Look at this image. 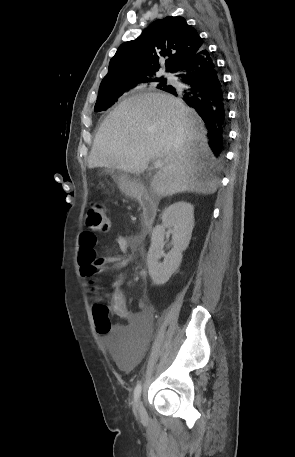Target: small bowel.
<instances>
[{
    "label": "small bowel",
    "instance_id": "1",
    "mask_svg": "<svg viewBox=\"0 0 295 457\" xmlns=\"http://www.w3.org/2000/svg\"><path fill=\"white\" fill-rule=\"evenodd\" d=\"M116 241L121 255L98 257L95 250L97 245L96 234L90 230L82 231L79 237L80 265L86 261L101 271L124 268L135 254L142 240L137 235L119 232L116 235ZM123 281V276H119L109 285V288L112 290L111 309L116 316L125 321V324L115 325L110 329L106 338H135L134 334L138 332L148 334L153 323V310L147 303H142L138 312H129L121 288Z\"/></svg>",
    "mask_w": 295,
    "mask_h": 457
}]
</instances>
